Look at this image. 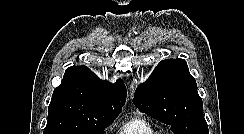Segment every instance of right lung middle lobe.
<instances>
[{"mask_svg":"<svg viewBox=\"0 0 244 134\" xmlns=\"http://www.w3.org/2000/svg\"><path fill=\"white\" fill-rule=\"evenodd\" d=\"M117 116L89 118L48 110L47 125L43 134H100Z\"/></svg>","mask_w":244,"mask_h":134,"instance_id":"dd1d6c3e","label":"right lung middle lobe"}]
</instances>
